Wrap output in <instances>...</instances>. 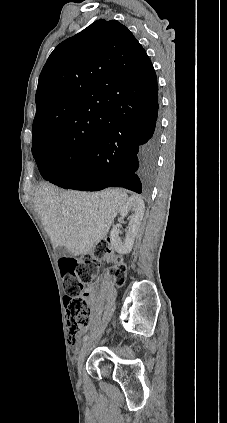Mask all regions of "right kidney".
<instances>
[{
    "instance_id": "1",
    "label": "right kidney",
    "mask_w": 227,
    "mask_h": 423,
    "mask_svg": "<svg viewBox=\"0 0 227 423\" xmlns=\"http://www.w3.org/2000/svg\"><path fill=\"white\" fill-rule=\"evenodd\" d=\"M129 211H132V213L130 215L128 231L125 235L124 241H122L119 237V233H121V229H119V227H113L110 231V243L113 245L115 251H118L121 255L132 251L137 231L143 219L145 204L140 196H131V198L127 200L125 206L121 208L120 215H123L124 217V215H128Z\"/></svg>"
}]
</instances>
